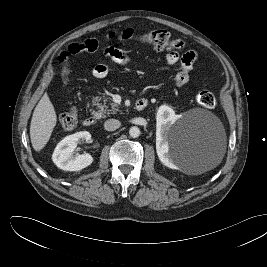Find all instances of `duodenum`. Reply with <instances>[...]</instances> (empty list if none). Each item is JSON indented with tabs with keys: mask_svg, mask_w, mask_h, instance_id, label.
Listing matches in <instances>:
<instances>
[{
	"mask_svg": "<svg viewBox=\"0 0 267 267\" xmlns=\"http://www.w3.org/2000/svg\"><path fill=\"white\" fill-rule=\"evenodd\" d=\"M148 105V100L146 98H140L135 103V109L141 111ZM96 123V118L94 116H88L84 118L83 125L86 127L93 126Z\"/></svg>",
	"mask_w": 267,
	"mask_h": 267,
	"instance_id": "410a0bca",
	"label": "duodenum"
}]
</instances>
